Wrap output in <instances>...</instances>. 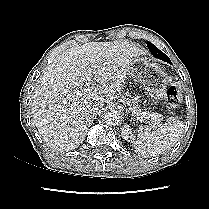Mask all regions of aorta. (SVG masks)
Wrapping results in <instances>:
<instances>
[{"mask_svg":"<svg viewBox=\"0 0 209 209\" xmlns=\"http://www.w3.org/2000/svg\"><path fill=\"white\" fill-rule=\"evenodd\" d=\"M103 119L109 125H117L121 122L122 115L119 111L111 110L105 113Z\"/></svg>","mask_w":209,"mask_h":209,"instance_id":"762f6f07","label":"aorta"}]
</instances>
